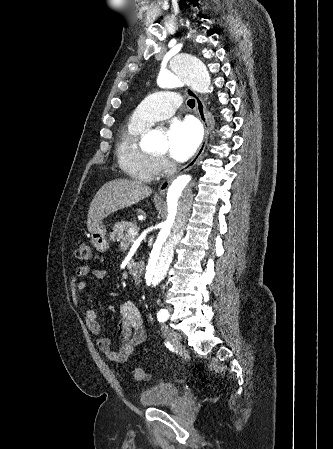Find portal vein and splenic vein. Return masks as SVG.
<instances>
[{
	"label": "portal vein and splenic vein",
	"instance_id": "1",
	"mask_svg": "<svg viewBox=\"0 0 333 449\" xmlns=\"http://www.w3.org/2000/svg\"><path fill=\"white\" fill-rule=\"evenodd\" d=\"M129 234L135 236L137 234V230L135 228H130Z\"/></svg>",
	"mask_w": 333,
	"mask_h": 449
}]
</instances>
